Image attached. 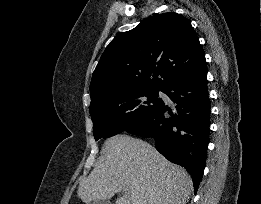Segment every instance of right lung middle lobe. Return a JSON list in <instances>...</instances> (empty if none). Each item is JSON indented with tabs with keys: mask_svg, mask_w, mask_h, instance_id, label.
Returning a JSON list of instances; mask_svg holds the SVG:
<instances>
[{
	"mask_svg": "<svg viewBox=\"0 0 261 204\" xmlns=\"http://www.w3.org/2000/svg\"><path fill=\"white\" fill-rule=\"evenodd\" d=\"M158 91H122L90 107L95 140L119 134L143 119L160 102Z\"/></svg>",
	"mask_w": 261,
	"mask_h": 204,
	"instance_id": "right-lung-middle-lobe-1",
	"label": "right lung middle lobe"
}]
</instances>
